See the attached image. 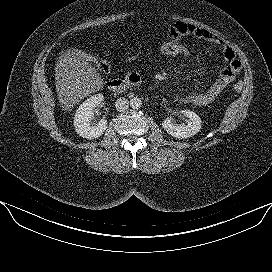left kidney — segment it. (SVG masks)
Here are the masks:
<instances>
[{
	"mask_svg": "<svg viewBox=\"0 0 272 272\" xmlns=\"http://www.w3.org/2000/svg\"><path fill=\"white\" fill-rule=\"evenodd\" d=\"M182 113L187 117L186 124H175L172 117H167L162 126L164 130L171 136L178 139H185L194 136L201 129V119L193 111L183 110Z\"/></svg>",
	"mask_w": 272,
	"mask_h": 272,
	"instance_id": "left-kidney-1",
	"label": "left kidney"
}]
</instances>
